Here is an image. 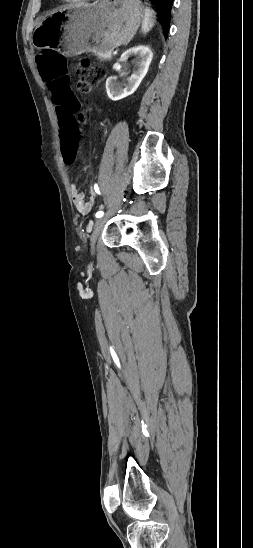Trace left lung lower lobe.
Masks as SVG:
<instances>
[{"instance_id": "1", "label": "left lung lower lobe", "mask_w": 253, "mask_h": 548, "mask_svg": "<svg viewBox=\"0 0 253 548\" xmlns=\"http://www.w3.org/2000/svg\"><path fill=\"white\" fill-rule=\"evenodd\" d=\"M157 6V12L159 14V21L164 30V34H168L171 20V9L174 0H151Z\"/></svg>"}]
</instances>
